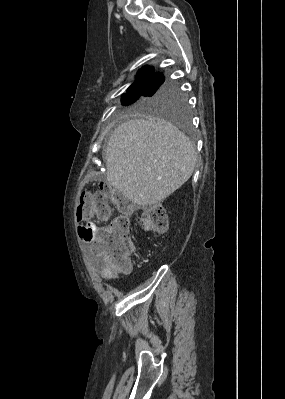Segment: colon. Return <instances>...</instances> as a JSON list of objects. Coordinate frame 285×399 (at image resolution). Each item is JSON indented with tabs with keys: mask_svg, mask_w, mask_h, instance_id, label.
I'll list each match as a JSON object with an SVG mask.
<instances>
[{
	"mask_svg": "<svg viewBox=\"0 0 285 399\" xmlns=\"http://www.w3.org/2000/svg\"><path fill=\"white\" fill-rule=\"evenodd\" d=\"M118 205L130 214L138 215L145 229L164 234L167 230V217L164 208L159 204H151L143 209L130 206L108 184H102L95 191L83 190L79 195V204L76 209L78 221L108 220L109 208ZM129 220L120 216L109 224L96 227L94 234L86 231L84 236L93 237L105 257L121 271L129 268L133 255V244L129 236ZM83 228L81 232L83 233Z\"/></svg>",
	"mask_w": 285,
	"mask_h": 399,
	"instance_id": "obj_1",
	"label": "colon"
}]
</instances>
